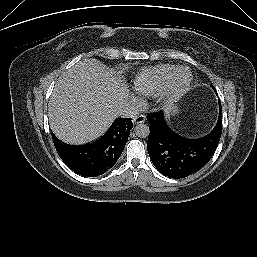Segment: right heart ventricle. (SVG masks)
Masks as SVG:
<instances>
[{"label":"right heart ventricle","instance_id":"1","mask_svg":"<svg viewBox=\"0 0 257 257\" xmlns=\"http://www.w3.org/2000/svg\"><path fill=\"white\" fill-rule=\"evenodd\" d=\"M176 69L171 64H160L142 69L133 80L135 92L142 98H154L167 76Z\"/></svg>","mask_w":257,"mask_h":257}]
</instances>
